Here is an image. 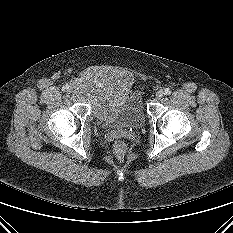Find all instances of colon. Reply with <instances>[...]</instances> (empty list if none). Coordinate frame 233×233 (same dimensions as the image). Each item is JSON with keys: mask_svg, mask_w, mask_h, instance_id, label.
<instances>
[{"mask_svg": "<svg viewBox=\"0 0 233 233\" xmlns=\"http://www.w3.org/2000/svg\"><path fill=\"white\" fill-rule=\"evenodd\" d=\"M114 153L119 160H124L127 154V146L123 141L114 144Z\"/></svg>", "mask_w": 233, "mask_h": 233, "instance_id": "colon-1", "label": "colon"}]
</instances>
